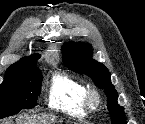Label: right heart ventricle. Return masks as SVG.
<instances>
[{
    "instance_id": "right-heart-ventricle-1",
    "label": "right heart ventricle",
    "mask_w": 145,
    "mask_h": 124,
    "mask_svg": "<svg viewBox=\"0 0 145 124\" xmlns=\"http://www.w3.org/2000/svg\"><path fill=\"white\" fill-rule=\"evenodd\" d=\"M88 86L80 79L66 73H56L51 77L48 90V104L73 117L86 114L85 96Z\"/></svg>"
}]
</instances>
